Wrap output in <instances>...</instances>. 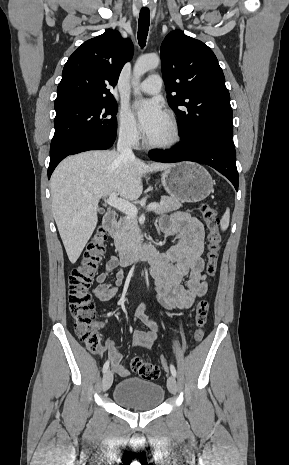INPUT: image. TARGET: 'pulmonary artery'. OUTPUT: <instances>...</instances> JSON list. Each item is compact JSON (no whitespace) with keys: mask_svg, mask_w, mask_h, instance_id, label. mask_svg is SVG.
I'll return each instance as SVG.
<instances>
[{"mask_svg":"<svg viewBox=\"0 0 289 465\" xmlns=\"http://www.w3.org/2000/svg\"><path fill=\"white\" fill-rule=\"evenodd\" d=\"M162 87V78L157 75H150L140 85L139 90L146 94H156L160 92Z\"/></svg>","mask_w":289,"mask_h":465,"instance_id":"pulmonary-artery-1","label":"pulmonary artery"}]
</instances>
